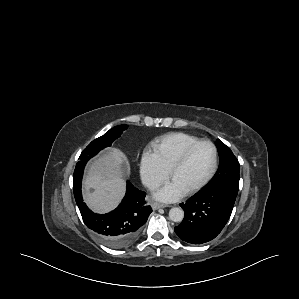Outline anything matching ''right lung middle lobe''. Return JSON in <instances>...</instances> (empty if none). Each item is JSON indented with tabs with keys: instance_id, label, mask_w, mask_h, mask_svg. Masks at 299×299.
Returning <instances> with one entry per match:
<instances>
[{
	"instance_id": "obj_1",
	"label": "right lung middle lobe",
	"mask_w": 299,
	"mask_h": 299,
	"mask_svg": "<svg viewBox=\"0 0 299 299\" xmlns=\"http://www.w3.org/2000/svg\"><path fill=\"white\" fill-rule=\"evenodd\" d=\"M126 125H118L110 129L103 136L92 141L81 153L79 159L91 158L105 147L111 146L112 142L118 138L126 129Z\"/></svg>"
}]
</instances>
